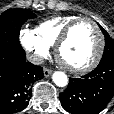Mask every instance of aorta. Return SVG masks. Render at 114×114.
Masks as SVG:
<instances>
[{
  "instance_id": "762f6f07",
  "label": "aorta",
  "mask_w": 114,
  "mask_h": 114,
  "mask_svg": "<svg viewBox=\"0 0 114 114\" xmlns=\"http://www.w3.org/2000/svg\"><path fill=\"white\" fill-rule=\"evenodd\" d=\"M52 79L53 82L59 87H65L68 84L67 75L60 71L54 72Z\"/></svg>"
}]
</instances>
